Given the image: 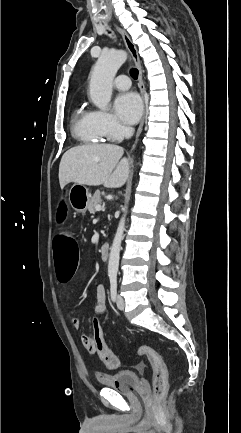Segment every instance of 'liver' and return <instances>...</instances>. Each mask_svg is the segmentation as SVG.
Returning a JSON list of instances; mask_svg holds the SVG:
<instances>
[{"label": "liver", "mask_w": 241, "mask_h": 433, "mask_svg": "<svg viewBox=\"0 0 241 433\" xmlns=\"http://www.w3.org/2000/svg\"><path fill=\"white\" fill-rule=\"evenodd\" d=\"M123 148L113 144L82 145L64 153L59 165V183L64 188L80 185L119 188L129 177V160ZM122 158V159H121Z\"/></svg>", "instance_id": "1"}]
</instances>
